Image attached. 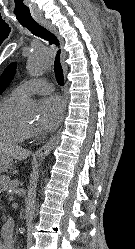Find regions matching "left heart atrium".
<instances>
[{"label": "left heart atrium", "instance_id": "1", "mask_svg": "<svg viewBox=\"0 0 135 249\" xmlns=\"http://www.w3.org/2000/svg\"><path fill=\"white\" fill-rule=\"evenodd\" d=\"M64 111L65 104L59 96L46 97L40 105V128L46 131L54 130L60 124Z\"/></svg>", "mask_w": 135, "mask_h": 249}]
</instances>
